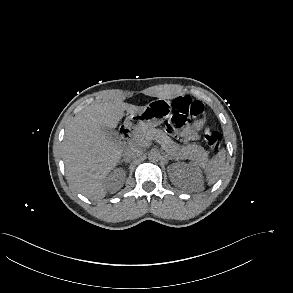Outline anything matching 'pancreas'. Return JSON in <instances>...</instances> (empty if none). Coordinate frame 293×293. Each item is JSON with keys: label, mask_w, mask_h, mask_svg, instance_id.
Segmentation results:
<instances>
[{"label": "pancreas", "mask_w": 293, "mask_h": 293, "mask_svg": "<svg viewBox=\"0 0 293 293\" xmlns=\"http://www.w3.org/2000/svg\"><path fill=\"white\" fill-rule=\"evenodd\" d=\"M154 138L160 141L163 149L173 159H189L195 165H202L208 158V153L203 147L196 144L181 146L160 129L137 127L132 134V141L137 146H146Z\"/></svg>", "instance_id": "pancreas-1"}]
</instances>
